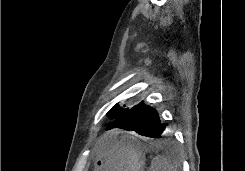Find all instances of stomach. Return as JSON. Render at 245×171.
<instances>
[{
    "label": "stomach",
    "instance_id": "obj_1",
    "mask_svg": "<svg viewBox=\"0 0 245 171\" xmlns=\"http://www.w3.org/2000/svg\"><path fill=\"white\" fill-rule=\"evenodd\" d=\"M147 150L134 134H110L99 146L94 171H143Z\"/></svg>",
    "mask_w": 245,
    "mask_h": 171
}]
</instances>
